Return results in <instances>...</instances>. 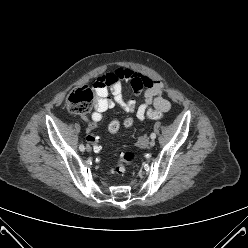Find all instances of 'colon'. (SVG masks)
<instances>
[{
    "mask_svg": "<svg viewBox=\"0 0 248 248\" xmlns=\"http://www.w3.org/2000/svg\"><path fill=\"white\" fill-rule=\"evenodd\" d=\"M96 96L95 88L91 89L88 86H84L74 90L68 97L66 106L67 109L76 115L87 114L92 106V101ZM163 114L159 111L153 110L148 114L151 119H159ZM134 119L132 115H125L121 120V127L125 131H132L134 129ZM120 124L117 120L112 121L108 126L109 133H116L120 128ZM84 134L86 136L87 144L92 148H97L101 144V139L96 133L95 129L88 127L85 129ZM137 155L134 152L127 151L120 155L117 165L112 169L111 174L113 176H122L125 174L127 168L135 163Z\"/></svg>",
    "mask_w": 248,
    "mask_h": 248,
    "instance_id": "colon-1",
    "label": "colon"
}]
</instances>
